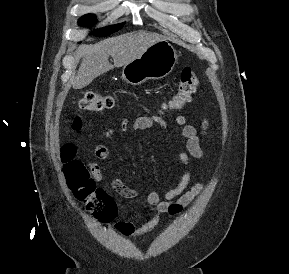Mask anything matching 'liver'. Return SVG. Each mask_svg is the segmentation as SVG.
<instances>
[{
  "label": "liver",
  "instance_id": "6515ba94",
  "mask_svg": "<svg viewBox=\"0 0 289 274\" xmlns=\"http://www.w3.org/2000/svg\"><path fill=\"white\" fill-rule=\"evenodd\" d=\"M160 40L161 36L152 33H128L83 47L81 65L71 81L73 88L82 89L114 67L130 63ZM109 56L113 58V65L109 63Z\"/></svg>",
  "mask_w": 289,
  "mask_h": 274
}]
</instances>
